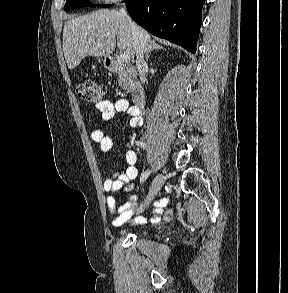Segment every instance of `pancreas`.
<instances>
[{"instance_id": "pancreas-1", "label": "pancreas", "mask_w": 288, "mask_h": 293, "mask_svg": "<svg viewBox=\"0 0 288 293\" xmlns=\"http://www.w3.org/2000/svg\"><path fill=\"white\" fill-rule=\"evenodd\" d=\"M136 73L132 66L120 63L118 83L127 93H132L136 87Z\"/></svg>"}]
</instances>
